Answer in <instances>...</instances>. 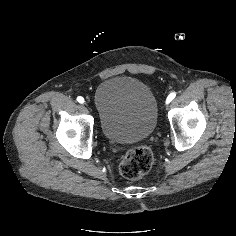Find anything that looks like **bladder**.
<instances>
[{
	"instance_id": "31cf9c89",
	"label": "bladder",
	"mask_w": 236,
	"mask_h": 236,
	"mask_svg": "<svg viewBox=\"0 0 236 236\" xmlns=\"http://www.w3.org/2000/svg\"><path fill=\"white\" fill-rule=\"evenodd\" d=\"M94 103L103 136L114 143L143 140L154 131L158 104L152 90L142 81L115 77L96 90Z\"/></svg>"
}]
</instances>
